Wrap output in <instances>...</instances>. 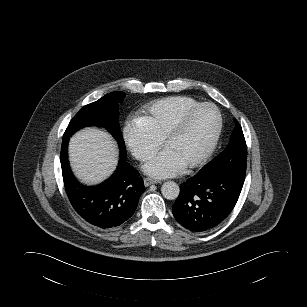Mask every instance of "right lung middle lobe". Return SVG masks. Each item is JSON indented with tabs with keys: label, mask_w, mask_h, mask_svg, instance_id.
Returning <instances> with one entry per match:
<instances>
[{
	"label": "right lung middle lobe",
	"mask_w": 307,
	"mask_h": 307,
	"mask_svg": "<svg viewBox=\"0 0 307 307\" xmlns=\"http://www.w3.org/2000/svg\"><path fill=\"white\" fill-rule=\"evenodd\" d=\"M125 95L124 92L115 91L84 106L70 121L63 137H70L85 126H102L117 140L121 151L120 156L126 157L125 144L118 124V100H122Z\"/></svg>",
	"instance_id": "obj_1"
}]
</instances>
